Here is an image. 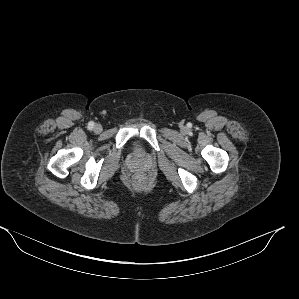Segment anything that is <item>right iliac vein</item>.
I'll return each instance as SVG.
<instances>
[{"label":"right iliac vein","instance_id":"right-iliac-vein-1","mask_svg":"<svg viewBox=\"0 0 299 299\" xmlns=\"http://www.w3.org/2000/svg\"><path fill=\"white\" fill-rule=\"evenodd\" d=\"M94 131L100 133L102 131V126L100 124H96L94 126Z\"/></svg>","mask_w":299,"mask_h":299}]
</instances>
